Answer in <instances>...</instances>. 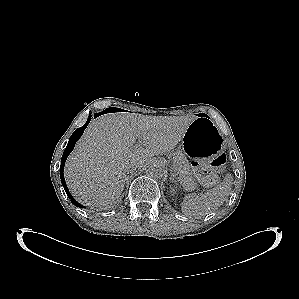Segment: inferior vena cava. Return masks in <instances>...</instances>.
Returning a JSON list of instances; mask_svg holds the SVG:
<instances>
[{
    "label": "inferior vena cava",
    "mask_w": 299,
    "mask_h": 299,
    "mask_svg": "<svg viewBox=\"0 0 299 299\" xmlns=\"http://www.w3.org/2000/svg\"><path fill=\"white\" fill-rule=\"evenodd\" d=\"M137 169V166L136 165H131L130 166V170H129V172H133L134 170H136Z\"/></svg>",
    "instance_id": "inferior-vena-cava-1"
}]
</instances>
